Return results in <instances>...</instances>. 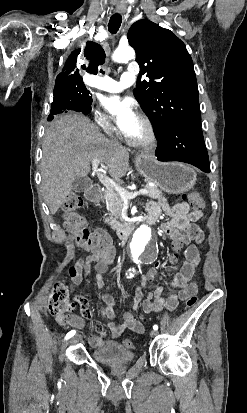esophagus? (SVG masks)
I'll use <instances>...</instances> for the list:
<instances>
[{
  "label": "esophagus",
  "mask_w": 247,
  "mask_h": 413,
  "mask_svg": "<svg viewBox=\"0 0 247 413\" xmlns=\"http://www.w3.org/2000/svg\"><path fill=\"white\" fill-rule=\"evenodd\" d=\"M119 14L121 13V15H124L125 14V12H123V11H120V12H118Z\"/></svg>",
  "instance_id": "obj_1"
}]
</instances>
